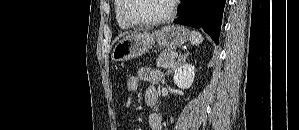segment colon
<instances>
[{
  "instance_id": "colon-1",
  "label": "colon",
  "mask_w": 299,
  "mask_h": 130,
  "mask_svg": "<svg viewBox=\"0 0 299 130\" xmlns=\"http://www.w3.org/2000/svg\"><path fill=\"white\" fill-rule=\"evenodd\" d=\"M140 79L137 73L131 74L126 79V89L129 94H133L139 87Z\"/></svg>"
}]
</instances>
